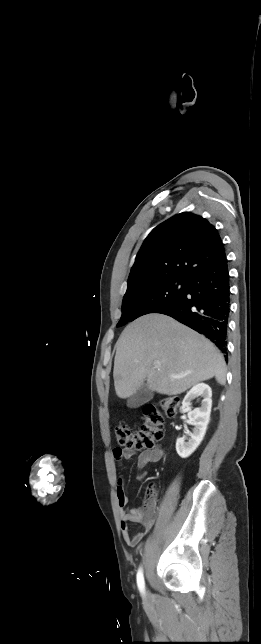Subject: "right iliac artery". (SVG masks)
<instances>
[{
  "instance_id": "right-iliac-artery-1",
  "label": "right iliac artery",
  "mask_w": 261,
  "mask_h": 644,
  "mask_svg": "<svg viewBox=\"0 0 261 644\" xmlns=\"http://www.w3.org/2000/svg\"><path fill=\"white\" fill-rule=\"evenodd\" d=\"M137 585L139 588V591L144 594L145 593V582H144V576H143V570L140 567L138 572H137Z\"/></svg>"
}]
</instances>
